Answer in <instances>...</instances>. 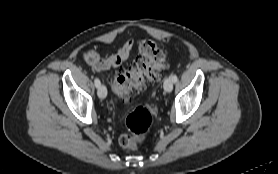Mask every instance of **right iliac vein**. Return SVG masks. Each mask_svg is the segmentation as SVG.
<instances>
[{"instance_id": "obj_1", "label": "right iliac vein", "mask_w": 278, "mask_h": 174, "mask_svg": "<svg viewBox=\"0 0 278 174\" xmlns=\"http://www.w3.org/2000/svg\"><path fill=\"white\" fill-rule=\"evenodd\" d=\"M97 94H98L99 98H101V99L106 98V96H107V89H106V87L104 85H100L98 87Z\"/></svg>"}]
</instances>
